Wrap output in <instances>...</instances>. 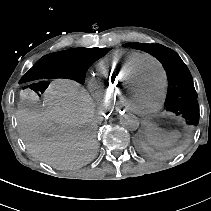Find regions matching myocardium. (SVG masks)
<instances>
[{
  "instance_id": "f54148a6",
  "label": "myocardium",
  "mask_w": 211,
  "mask_h": 211,
  "mask_svg": "<svg viewBox=\"0 0 211 211\" xmlns=\"http://www.w3.org/2000/svg\"><path fill=\"white\" fill-rule=\"evenodd\" d=\"M145 61H153L158 65V67L160 68V71H161L162 85H161V92H160V96H159L158 100L151 107H149L147 109H139V108L131 107L127 103L126 93H127L128 86H129L131 79L134 77V75L136 74L139 67ZM166 83H167V73H166V70H165L162 62L154 56L147 55L135 67H133L130 71H128L125 74V76L123 77V80L119 86L118 99L126 110H128L134 114H137V115L149 116V115H152L153 113H155L162 105L164 96H165Z\"/></svg>"
}]
</instances>
